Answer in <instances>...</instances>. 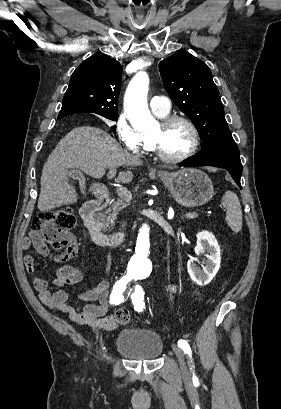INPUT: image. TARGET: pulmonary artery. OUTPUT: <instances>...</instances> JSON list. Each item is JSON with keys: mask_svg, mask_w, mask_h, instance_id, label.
Returning a JSON list of instances; mask_svg holds the SVG:
<instances>
[{"mask_svg": "<svg viewBox=\"0 0 281 409\" xmlns=\"http://www.w3.org/2000/svg\"><path fill=\"white\" fill-rule=\"evenodd\" d=\"M170 97H153L150 100V110L156 114L165 115L169 112Z\"/></svg>", "mask_w": 281, "mask_h": 409, "instance_id": "pulmonary-artery-1", "label": "pulmonary artery"}]
</instances>
